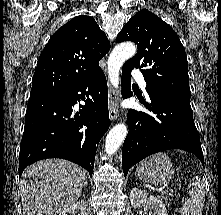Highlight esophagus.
I'll return each mask as SVG.
<instances>
[{
  "instance_id": "34e87169",
  "label": "esophagus",
  "mask_w": 221,
  "mask_h": 215,
  "mask_svg": "<svg viewBox=\"0 0 221 215\" xmlns=\"http://www.w3.org/2000/svg\"><path fill=\"white\" fill-rule=\"evenodd\" d=\"M108 97H109V117L111 121H115L118 119L119 116V110H118L119 97L110 84H108Z\"/></svg>"
}]
</instances>
